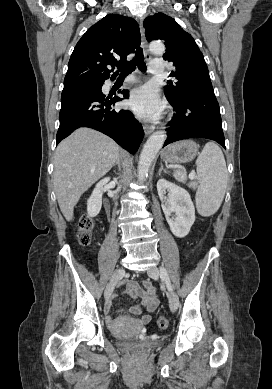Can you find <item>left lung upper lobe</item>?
<instances>
[{"mask_svg": "<svg viewBox=\"0 0 272 389\" xmlns=\"http://www.w3.org/2000/svg\"><path fill=\"white\" fill-rule=\"evenodd\" d=\"M145 36L151 40H163L166 53L163 59L173 62L175 71L171 76L176 83L168 81L164 93L168 100L177 101L184 91L202 87H212L203 54L192 36L185 32L171 17L158 13L144 20Z\"/></svg>", "mask_w": 272, "mask_h": 389, "instance_id": "5c2ea615", "label": "left lung upper lobe"}]
</instances>
